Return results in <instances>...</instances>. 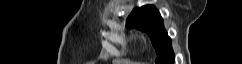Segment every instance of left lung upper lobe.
I'll use <instances>...</instances> for the list:
<instances>
[{
    "mask_svg": "<svg viewBox=\"0 0 242 64\" xmlns=\"http://www.w3.org/2000/svg\"><path fill=\"white\" fill-rule=\"evenodd\" d=\"M126 26L145 31L156 50V64H173L175 61L172 42L168 36L163 19L153 5L136 7L126 20Z\"/></svg>",
    "mask_w": 242,
    "mask_h": 64,
    "instance_id": "obj_1",
    "label": "left lung upper lobe"
}]
</instances>
